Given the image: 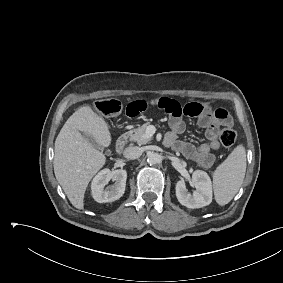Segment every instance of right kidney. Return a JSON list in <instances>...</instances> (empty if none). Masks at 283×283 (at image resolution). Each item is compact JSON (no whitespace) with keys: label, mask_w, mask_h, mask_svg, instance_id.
<instances>
[{"label":"right kidney","mask_w":283,"mask_h":283,"mask_svg":"<svg viewBox=\"0 0 283 283\" xmlns=\"http://www.w3.org/2000/svg\"><path fill=\"white\" fill-rule=\"evenodd\" d=\"M127 172L119 169L110 171L104 169L100 171L91 184L92 196L99 203L113 202L124 194L126 186ZM114 181V185L105 188L108 182Z\"/></svg>","instance_id":"1"}]
</instances>
